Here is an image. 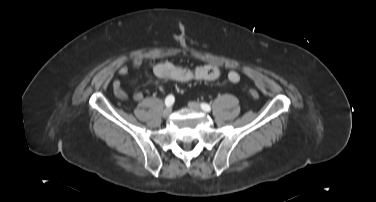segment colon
Returning a JSON list of instances; mask_svg holds the SVG:
<instances>
[{
	"instance_id": "colon-1",
	"label": "colon",
	"mask_w": 376,
	"mask_h": 202,
	"mask_svg": "<svg viewBox=\"0 0 376 202\" xmlns=\"http://www.w3.org/2000/svg\"><path fill=\"white\" fill-rule=\"evenodd\" d=\"M249 94H250V96H251L252 98H254V99H256V98L259 97V94H258V92H257L255 89H250V90H249Z\"/></svg>"
}]
</instances>
